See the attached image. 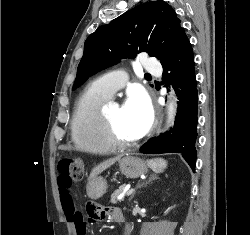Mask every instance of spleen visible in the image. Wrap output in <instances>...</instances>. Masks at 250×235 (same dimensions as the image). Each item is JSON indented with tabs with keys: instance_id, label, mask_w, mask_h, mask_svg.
I'll list each match as a JSON object with an SVG mask.
<instances>
[{
	"instance_id": "obj_1",
	"label": "spleen",
	"mask_w": 250,
	"mask_h": 235,
	"mask_svg": "<svg viewBox=\"0 0 250 235\" xmlns=\"http://www.w3.org/2000/svg\"><path fill=\"white\" fill-rule=\"evenodd\" d=\"M147 164L155 173H161L167 167V162L162 158L147 160Z\"/></svg>"
}]
</instances>
